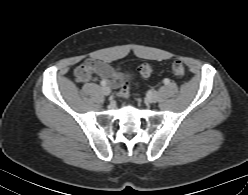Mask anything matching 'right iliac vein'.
<instances>
[{
  "mask_svg": "<svg viewBox=\"0 0 248 195\" xmlns=\"http://www.w3.org/2000/svg\"><path fill=\"white\" fill-rule=\"evenodd\" d=\"M102 93L107 96L111 93V89L108 86H103Z\"/></svg>",
  "mask_w": 248,
  "mask_h": 195,
  "instance_id": "1",
  "label": "right iliac vein"
}]
</instances>
